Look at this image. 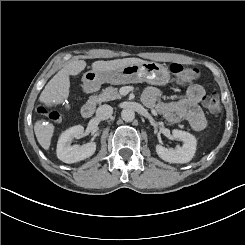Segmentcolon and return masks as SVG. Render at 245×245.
<instances>
[{
  "instance_id": "obj_1",
  "label": "colon",
  "mask_w": 245,
  "mask_h": 245,
  "mask_svg": "<svg viewBox=\"0 0 245 245\" xmlns=\"http://www.w3.org/2000/svg\"><path fill=\"white\" fill-rule=\"evenodd\" d=\"M170 71L174 76H176L182 81L195 79L199 74L198 69L184 66L178 63L172 64L170 66ZM203 105L206 108V110L212 114H216L221 110L220 99L216 94H211L209 96L204 97ZM38 112L56 123L60 122L62 119L61 115L58 112L50 110L45 106H40L38 108Z\"/></svg>"
}]
</instances>
